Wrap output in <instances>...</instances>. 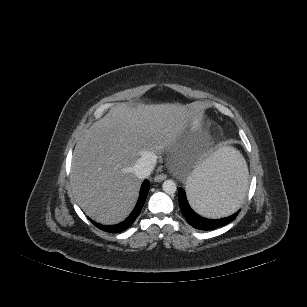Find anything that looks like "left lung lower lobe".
Listing matches in <instances>:
<instances>
[{"label": "left lung lower lobe", "mask_w": 307, "mask_h": 307, "mask_svg": "<svg viewBox=\"0 0 307 307\" xmlns=\"http://www.w3.org/2000/svg\"><path fill=\"white\" fill-rule=\"evenodd\" d=\"M247 185V176L240 170L233 169L229 172L227 178L225 179V192L235 196V198L239 199V201H242L247 191ZM179 205L187 222L192 227L204 231L213 230L230 223L237 217L240 211L238 210L236 213L221 219H207L201 217L189 206L185 191L182 188H179Z\"/></svg>", "instance_id": "left-lung-lower-lobe-1"}]
</instances>
